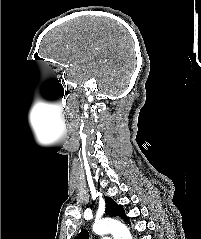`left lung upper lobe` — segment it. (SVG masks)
I'll use <instances>...</instances> for the list:
<instances>
[{
	"label": "left lung upper lobe",
	"mask_w": 201,
	"mask_h": 239,
	"mask_svg": "<svg viewBox=\"0 0 201 239\" xmlns=\"http://www.w3.org/2000/svg\"><path fill=\"white\" fill-rule=\"evenodd\" d=\"M106 202V209L105 213L110 216H118L125 220L126 222H129V218L126 216L123 206L118 205L112 198L105 197ZM75 239H89V233L87 230H83Z\"/></svg>",
	"instance_id": "left-lung-upper-lobe-1"
}]
</instances>
